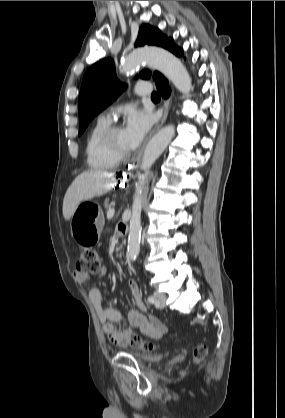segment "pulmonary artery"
Segmentation results:
<instances>
[{"mask_svg":"<svg viewBox=\"0 0 285 418\" xmlns=\"http://www.w3.org/2000/svg\"><path fill=\"white\" fill-rule=\"evenodd\" d=\"M151 92V87L145 83H139L135 87V94L137 96L148 95Z\"/></svg>","mask_w":285,"mask_h":418,"instance_id":"1","label":"pulmonary artery"}]
</instances>
